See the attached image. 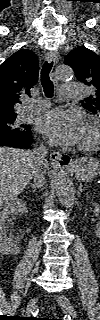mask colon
Segmentation results:
<instances>
[{"label": "colon", "instance_id": "5ec220e1", "mask_svg": "<svg viewBox=\"0 0 100 320\" xmlns=\"http://www.w3.org/2000/svg\"><path fill=\"white\" fill-rule=\"evenodd\" d=\"M52 320H60V319H52Z\"/></svg>", "mask_w": 100, "mask_h": 320}]
</instances>
